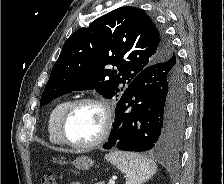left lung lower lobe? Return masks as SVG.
<instances>
[{"instance_id": "0a47b994", "label": "left lung lower lobe", "mask_w": 224, "mask_h": 184, "mask_svg": "<svg viewBox=\"0 0 224 184\" xmlns=\"http://www.w3.org/2000/svg\"><path fill=\"white\" fill-rule=\"evenodd\" d=\"M176 58L143 69L119 99L105 149L124 151L177 150L184 134L185 79Z\"/></svg>"}]
</instances>
